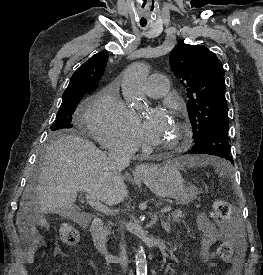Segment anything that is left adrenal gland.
Instances as JSON below:
<instances>
[{
    "mask_svg": "<svg viewBox=\"0 0 263 275\" xmlns=\"http://www.w3.org/2000/svg\"><path fill=\"white\" fill-rule=\"evenodd\" d=\"M157 220H158L157 215H154V218H153L152 221H153V222H156ZM161 225H162V227L168 232L169 229H170V219L167 218V219L163 220V219L161 218Z\"/></svg>",
    "mask_w": 263,
    "mask_h": 275,
    "instance_id": "left-adrenal-gland-1",
    "label": "left adrenal gland"
}]
</instances>
